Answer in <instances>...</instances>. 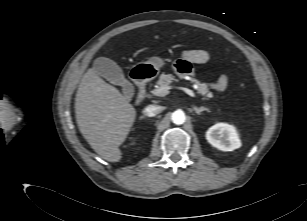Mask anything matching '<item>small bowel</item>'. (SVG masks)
Segmentation results:
<instances>
[{
  "label": "small bowel",
  "mask_w": 307,
  "mask_h": 221,
  "mask_svg": "<svg viewBox=\"0 0 307 221\" xmlns=\"http://www.w3.org/2000/svg\"><path fill=\"white\" fill-rule=\"evenodd\" d=\"M210 61V54L203 49L189 50L183 55V60L176 64V70L180 73H186L190 70V64H206ZM228 84V77L222 74L218 80L211 84L210 87L216 91H224Z\"/></svg>",
  "instance_id": "1"
}]
</instances>
